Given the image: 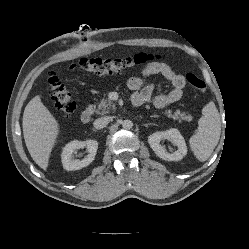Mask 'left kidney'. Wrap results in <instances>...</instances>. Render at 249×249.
I'll return each instance as SVG.
<instances>
[{
    "label": "left kidney",
    "instance_id": "1",
    "mask_svg": "<svg viewBox=\"0 0 249 249\" xmlns=\"http://www.w3.org/2000/svg\"><path fill=\"white\" fill-rule=\"evenodd\" d=\"M163 139L172 141L178 147V149L173 153L166 152L164 147L160 144V141ZM148 143L154 153L159 158L166 161H179L187 154V147L184 137L175 128L151 134L148 137Z\"/></svg>",
    "mask_w": 249,
    "mask_h": 249
}]
</instances>
